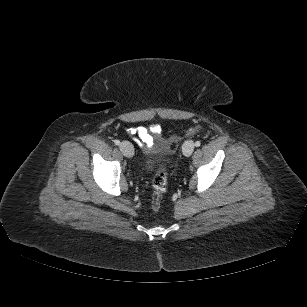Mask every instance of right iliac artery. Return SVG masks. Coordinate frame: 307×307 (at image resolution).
I'll return each instance as SVG.
<instances>
[{
    "mask_svg": "<svg viewBox=\"0 0 307 307\" xmlns=\"http://www.w3.org/2000/svg\"><path fill=\"white\" fill-rule=\"evenodd\" d=\"M114 144L115 145H120V141L119 140H114Z\"/></svg>",
    "mask_w": 307,
    "mask_h": 307,
    "instance_id": "obj_1",
    "label": "right iliac artery"
}]
</instances>
